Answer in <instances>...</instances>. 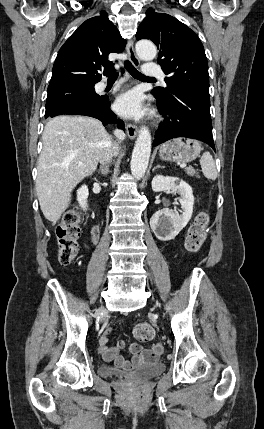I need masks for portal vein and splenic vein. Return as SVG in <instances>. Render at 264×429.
Segmentation results:
<instances>
[{
	"label": "portal vein and splenic vein",
	"mask_w": 264,
	"mask_h": 429,
	"mask_svg": "<svg viewBox=\"0 0 264 429\" xmlns=\"http://www.w3.org/2000/svg\"><path fill=\"white\" fill-rule=\"evenodd\" d=\"M180 167H181V168H187V165H186L185 163H182V164L180 165Z\"/></svg>",
	"instance_id": "portal-vein-and-splenic-vein-1"
}]
</instances>
